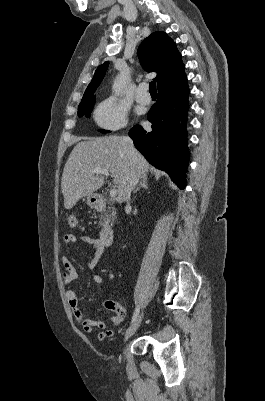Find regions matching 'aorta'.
Segmentation results:
<instances>
[{"instance_id": "1", "label": "aorta", "mask_w": 265, "mask_h": 401, "mask_svg": "<svg viewBox=\"0 0 265 401\" xmlns=\"http://www.w3.org/2000/svg\"><path fill=\"white\" fill-rule=\"evenodd\" d=\"M125 82H126V74L125 72H120V74L116 76L112 84V90L114 94H122Z\"/></svg>"}]
</instances>
